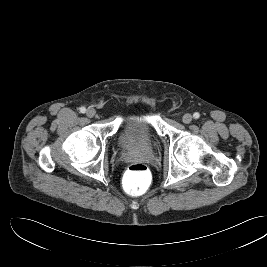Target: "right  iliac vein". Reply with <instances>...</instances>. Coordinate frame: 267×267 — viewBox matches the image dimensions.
Instances as JSON below:
<instances>
[{"label":"right iliac vein","mask_w":267,"mask_h":267,"mask_svg":"<svg viewBox=\"0 0 267 267\" xmlns=\"http://www.w3.org/2000/svg\"><path fill=\"white\" fill-rule=\"evenodd\" d=\"M95 114H96V111H95V109L92 108V107L88 108L87 111H86V115H87L89 118L94 117Z\"/></svg>","instance_id":"63e3f726"}]
</instances>
